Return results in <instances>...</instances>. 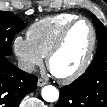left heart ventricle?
Segmentation results:
<instances>
[{"instance_id": "1", "label": "left heart ventricle", "mask_w": 107, "mask_h": 107, "mask_svg": "<svg viewBox=\"0 0 107 107\" xmlns=\"http://www.w3.org/2000/svg\"><path fill=\"white\" fill-rule=\"evenodd\" d=\"M91 42V32L85 22H79L69 32L61 50L51 61V71L66 76L76 71L83 63Z\"/></svg>"}]
</instances>
